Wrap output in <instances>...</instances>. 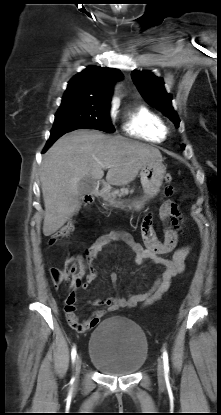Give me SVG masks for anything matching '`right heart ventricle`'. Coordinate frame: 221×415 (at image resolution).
<instances>
[{
	"label": "right heart ventricle",
	"instance_id": "obj_1",
	"mask_svg": "<svg viewBox=\"0 0 221 415\" xmlns=\"http://www.w3.org/2000/svg\"><path fill=\"white\" fill-rule=\"evenodd\" d=\"M122 129L128 136L153 143L164 141L168 135L163 118L145 105H138L127 111Z\"/></svg>",
	"mask_w": 221,
	"mask_h": 415
}]
</instances>
